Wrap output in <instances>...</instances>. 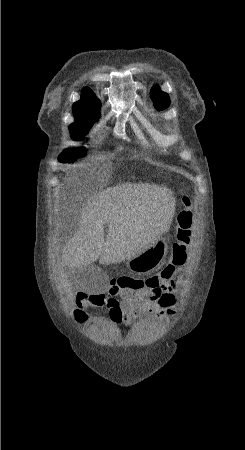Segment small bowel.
Returning <instances> with one entry per match:
<instances>
[{
    "label": "small bowel",
    "mask_w": 245,
    "mask_h": 450,
    "mask_svg": "<svg viewBox=\"0 0 245 450\" xmlns=\"http://www.w3.org/2000/svg\"><path fill=\"white\" fill-rule=\"evenodd\" d=\"M184 267H175L146 279L145 286L130 292L112 288L108 294L90 297L92 305L106 307L112 324L116 327L129 325L140 317L151 316L154 320L173 319L176 315L175 304L180 291L181 273Z\"/></svg>",
    "instance_id": "small-bowel-1"
}]
</instances>
